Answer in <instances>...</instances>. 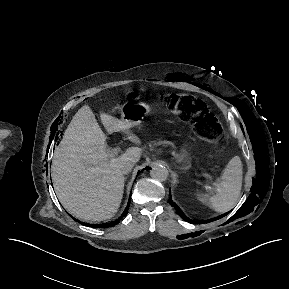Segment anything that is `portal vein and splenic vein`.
<instances>
[{"mask_svg": "<svg viewBox=\"0 0 289 289\" xmlns=\"http://www.w3.org/2000/svg\"><path fill=\"white\" fill-rule=\"evenodd\" d=\"M117 153H118L117 150L113 149L110 153V157H112V158L116 157ZM207 188H209V187L207 186Z\"/></svg>", "mask_w": 289, "mask_h": 289, "instance_id": "18ae733b", "label": "portal vein and splenic vein"}]
</instances>
